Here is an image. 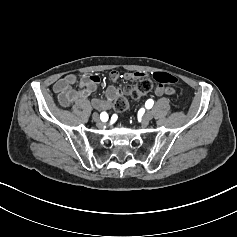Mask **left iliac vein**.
<instances>
[{"instance_id":"1","label":"left iliac vein","mask_w":237,"mask_h":237,"mask_svg":"<svg viewBox=\"0 0 237 237\" xmlns=\"http://www.w3.org/2000/svg\"><path fill=\"white\" fill-rule=\"evenodd\" d=\"M153 118V114L150 111H147L143 117V123L147 124Z\"/></svg>"}]
</instances>
